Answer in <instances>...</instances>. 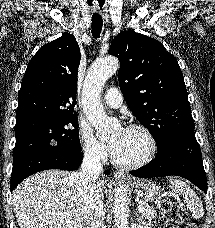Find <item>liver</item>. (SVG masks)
I'll list each match as a JSON object with an SVG mask.
<instances>
[{
	"label": "liver",
	"mask_w": 215,
	"mask_h": 228,
	"mask_svg": "<svg viewBox=\"0 0 215 228\" xmlns=\"http://www.w3.org/2000/svg\"><path fill=\"white\" fill-rule=\"evenodd\" d=\"M74 174L44 170L21 182L12 194L19 228H83L84 206ZM109 180H99L105 190Z\"/></svg>",
	"instance_id": "obj_1"
}]
</instances>
